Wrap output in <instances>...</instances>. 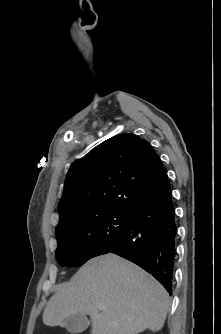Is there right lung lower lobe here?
Instances as JSON below:
<instances>
[{
    "mask_svg": "<svg viewBox=\"0 0 221 334\" xmlns=\"http://www.w3.org/2000/svg\"><path fill=\"white\" fill-rule=\"evenodd\" d=\"M176 236L175 209L167 180L135 208L119 242L102 254L114 253L134 262L172 295Z\"/></svg>",
    "mask_w": 221,
    "mask_h": 334,
    "instance_id": "1",
    "label": "right lung lower lobe"
}]
</instances>
